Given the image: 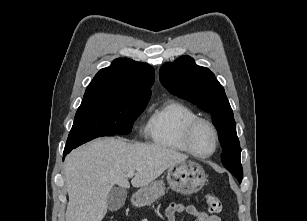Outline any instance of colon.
Segmentation results:
<instances>
[{
	"label": "colon",
	"mask_w": 307,
	"mask_h": 221,
	"mask_svg": "<svg viewBox=\"0 0 307 221\" xmlns=\"http://www.w3.org/2000/svg\"><path fill=\"white\" fill-rule=\"evenodd\" d=\"M207 208L212 213H220L222 211V203L220 199L212 193H208L205 197Z\"/></svg>",
	"instance_id": "obj_1"
}]
</instances>
